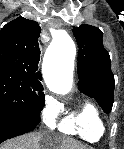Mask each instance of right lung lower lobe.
Instances as JSON below:
<instances>
[{
  "label": "right lung lower lobe",
  "instance_id": "1",
  "mask_svg": "<svg viewBox=\"0 0 124 149\" xmlns=\"http://www.w3.org/2000/svg\"><path fill=\"white\" fill-rule=\"evenodd\" d=\"M40 122V116H0V143L33 130Z\"/></svg>",
  "mask_w": 124,
  "mask_h": 149
}]
</instances>
